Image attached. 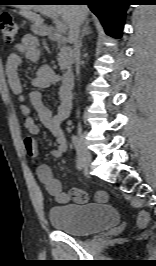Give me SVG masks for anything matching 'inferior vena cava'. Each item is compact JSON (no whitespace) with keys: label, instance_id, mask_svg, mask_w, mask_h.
I'll return each mask as SVG.
<instances>
[{"label":"inferior vena cava","instance_id":"inferior-vena-cava-1","mask_svg":"<svg viewBox=\"0 0 156 266\" xmlns=\"http://www.w3.org/2000/svg\"><path fill=\"white\" fill-rule=\"evenodd\" d=\"M80 26L81 22L77 19L72 27L71 30V40L74 44V57H75V67H76V74H80Z\"/></svg>","mask_w":156,"mask_h":266}]
</instances>
